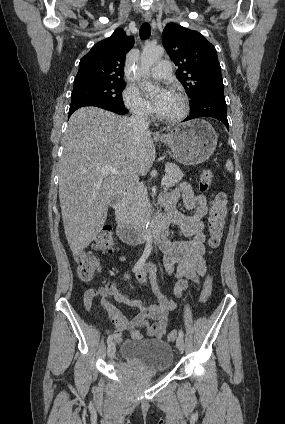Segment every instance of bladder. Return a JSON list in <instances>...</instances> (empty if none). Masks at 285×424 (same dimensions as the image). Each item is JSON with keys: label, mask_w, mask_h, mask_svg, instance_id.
<instances>
[{"label": "bladder", "mask_w": 285, "mask_h": 424, "mask_svg": "<svg viewBox=\"0 0 285 424\" xmlns=\"http://www.w3.org/2000/svg\"><path fill=\"white\" fill-rule=\"evenodd\" d=\"M120 353L125 363H132L152 375L166 373L174 360L172 346L159 339L126 341Z\"/></svg>", "instance_id": "31cf9c89"}]
</instances>
